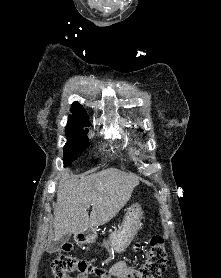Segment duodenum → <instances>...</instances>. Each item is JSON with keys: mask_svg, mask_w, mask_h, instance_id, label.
Wrapping results in <instances>:
<instances>
[{"mask_svg": "<svg viewBox=\"0 0 221 278\" xmlns=\"http://www.w3.org/2000/svg\"><path fill=\"white\" fill-rule=\"evenodd\" d=\"M91 235H92L91 228H86L84 231L80 232L77 235V241L79 243H84L90 238Z\"/></svg>", "mask_w": 221, "mask_h": 278, "instance_id": "obj_1", "label": "duodenum"}]
</instances>
